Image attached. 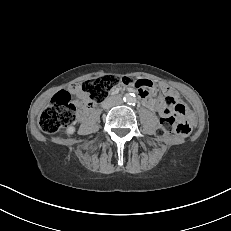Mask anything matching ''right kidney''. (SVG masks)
Wrapping results in <instances>:
<instances>
[{
	"label": "right kidney",
	"mask_w": 231,
	"mask_h": 231,
	"mask_svg": "<svg viewBox=\"0 0 231 231\" xmlns=\"http://www.w3.org/2000/svg\"><path fill=\"white\" fill-rule=\"evenodd\" d=\"M74 132H75V128L73 126H68L66 128V134L67 135H72V134H74Z\"/></svg>",
	"instance_id": "obj_1"
}]
</instances>
